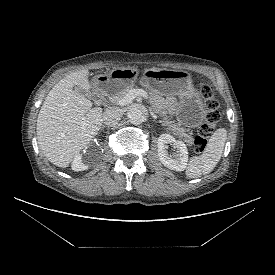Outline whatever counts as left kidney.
I'll use <instances>...</instances> for the list:
<instances>
[{"mask_svg":"<svg viewBox=\"0 0 275 275\" xmlns=\"http://www.w3.org/2000/svg\"><path fill=\"white\" fill-rule=\"evenodd\" d=\"M168 144L173 145L177 151L171 155L168 152ZM158 157L161 163L175 171H183L188 162V150L182 141L175 140L170 134H161L157 140Z\"/></svg>","mask_w":275,"mask_h":275,"instance_id":"left-kidney-1","label":"left kidney"}]
</instances>
